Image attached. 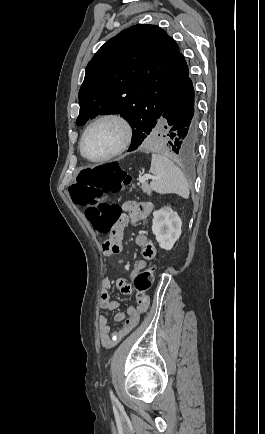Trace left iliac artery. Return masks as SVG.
I'll use <instances>...</instances> for the list:
<instances>
[{
  "label": "left iliac artery",
  "instance_id": "obj_1",
  "mask_svg": "<svg viewBox=\"0 0 265 434\" xmlns=\"http://www.w3.org/2000/svg\"><path fill=\"white\" fill-rule=\"evenodd\" d=\"M110 397H111L112 401L116 400V398H115V396H114V394H113L112 391H110Z\"/></svg>",
  "mask_w": 265,
  "mask_h": 434
}]
</instances>
